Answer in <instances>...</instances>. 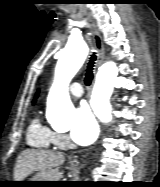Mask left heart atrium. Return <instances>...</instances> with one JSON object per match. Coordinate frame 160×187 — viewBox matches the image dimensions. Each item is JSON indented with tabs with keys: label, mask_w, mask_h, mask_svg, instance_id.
<instances>
[{
	"label": "left heart atrium",
	"mask_w": 160,
	"mask_h": 187,
	"mask_svg": "<svg viewBox=\"0 0 160 187\" xmlns=\"http://www.w3.org/2000/svg\"><path fill=\"white\" fill-rule=\"evenodd\" d=\"M98 124L87 104H82L75 113L71 129L72 139L80 145H89L98 135Z\"/></svg>",
	"instance_id": "1"
}]
</instances>
